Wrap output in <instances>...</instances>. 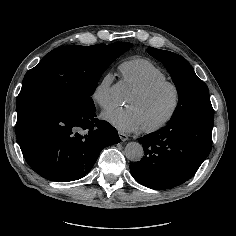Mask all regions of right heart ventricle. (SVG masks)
<instances>
[{"mask_svg":"<svg viewBox=\"0 0 236 236\" xmlns=\"http://www.w3.org/2000/svg\"><path fill=\"white\" fill-rule=\"evenodd\" d=\"M123 79L134 90L145 88L155 82L168 80V74L146 58H133L120 65Z\"/></svg>","mask_w":236,"mask_h":236,"instance_id":"1","label":"right heart ventricle"}]
</instances>
